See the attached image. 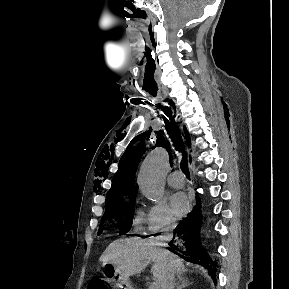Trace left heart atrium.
<instances>
[{
	"label": "left heart atrium",
	"instance_id": "obj_1",
	"mask_svg": "<svg viewBox=\"0 0 289 289\" xmlns=\"http://www.w3.org/2000/svg\"><path fill=\"white\" fill-rule=\"evenodd\" d=\"M169 204L173 214L178 217L185 214L189 206L187 197L183 192L173 193L169 197Z\"/></svg>",
	"mask_w": 289,
	"mask_h": 289
}]
</instances>
